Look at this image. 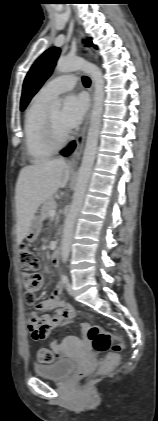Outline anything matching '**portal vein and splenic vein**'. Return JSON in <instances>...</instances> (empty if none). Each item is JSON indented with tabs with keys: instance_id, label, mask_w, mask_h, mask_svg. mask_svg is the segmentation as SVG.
Returning <instances> with one entry per match:
<instances>
[{
	"instance_id": "18ae733b",
	"label": "portal vein and splenic vein",
	"mask_w": 158,
	"mask_h": 421,
	"mask_svg": "<svg viewBox=\"0 0 158 421\" xmlns=\"http://www.w3.org/2000/svg\"><path fill=\"white\" fill-rule=\"evenodd\" d=\"M55 215H56V210L55 209L51 210L50 211V216L51 217H54Z\"/></svg>"
}]
</instances>
